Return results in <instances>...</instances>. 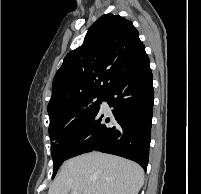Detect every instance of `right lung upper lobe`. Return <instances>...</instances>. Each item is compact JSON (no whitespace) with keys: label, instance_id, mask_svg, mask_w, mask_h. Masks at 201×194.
I'll list each match as a JSON object with an SVG mask.
<instances>
[{"label":"right lung upper lobe","instance_id":"cb5924a9","mask_svg":"<svg viewBox=\"0 0 201 194\" xmlns=\"http://www.w3.org/2000/svg\"><path fill=\"white\" fill-rule=\"evenodd\" d=\"M145 57L144 44L131 21L110 13L101 16L57 71L47 107L49 117L84 98L104 95Z\"/></svg>","mask_w":201,"mask_h":194}]
</instances>
